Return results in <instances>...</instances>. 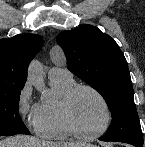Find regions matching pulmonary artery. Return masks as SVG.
<instances>
[{
    "mask_svg": "<svg viewBox=\"0 0 145 147\" xmlns=\"http://www.w3.org/2000/svg\"><path fill=\"white\" fill-rule=\"evenodd\" d=\"M49 78H72V73L65 67L54 66L48 72Z\"/></svg>",
    "mask_w": 145,
    "mask_h": 147,
    "instance_id": "1",
    "label": "pulmonary artery"
}]
</instances>
